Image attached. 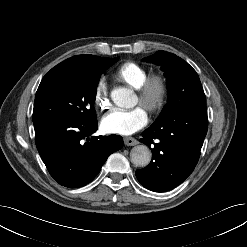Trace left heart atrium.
<instances>
[{"instance_id":"left-heart-atrium-1","label":"left heart atrium","mask_w":247,"mask_h":247,"mask_svg":"<svg viewBox=\"0 0 247 247\" xmlns=\"http://www.w3.org/2000/svg\"><path fill=\"white\" fill-rule=\"evenodd\" d=\"M147 121V112L142 107L113 109L103 116L101 128L107 133L130 135L144 127Z\"/></svg>"}]
</instances>
